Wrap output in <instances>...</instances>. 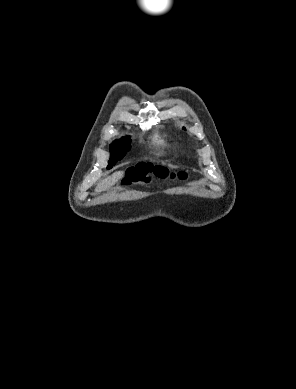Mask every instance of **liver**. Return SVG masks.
Listing matches in <instances>:
<instances>
[{"label": "liver", "instance_id": "obj_1", "mask_svg": "<svg viewBox=\"0 0 296 389\" xmlns=\"http://www.w3.org/2000/svg\"><path fill=\"white\" fill-rule=\"evenodd\" d=\"M123 174V171H117L111 176H108L105 179L101 180L95 188V193H100L113 186L123 177Z\"/></svg>", "mask_w": 296, "mask_h": 389}]
</instances>
